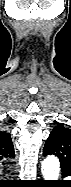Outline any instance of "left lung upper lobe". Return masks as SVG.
<instances>
[{"label":"left lung upper lobe","mask_w":71,"mask_h":187,"mask_svg":"<svg viewBox=\"0 0 71 187\" xmlns=\"http://www.w3.org/2000/svg\"><path fill=\"white\" fill-rule=\"evenodd\" d=\"M43 155L57 156L62 174L71 175V129L57 124L45 143Z\"/></svg>","instance_id":"left-lung-upper-lobe-1"}]
</instances>
